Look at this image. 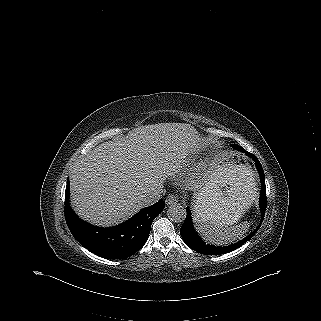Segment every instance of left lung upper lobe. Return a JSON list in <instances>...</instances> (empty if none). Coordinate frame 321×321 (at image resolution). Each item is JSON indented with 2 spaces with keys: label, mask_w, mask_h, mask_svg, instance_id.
<instances>
[{
  "label": "left lung upper lobe",
  "mask_w": 321,
  "mask_h": 321,
  "mask_svg": "<svg viewBox=\"0 0 321 321\" xmlns=\"http://www.w3.org/2000/svg\"><path fill=\"white\" fill-rule=\"evenodd\" d=\"M231 147L234 148L235 150H237V148L239 147V145L237 144H231ZM241 147V146H240Z\"/></svg>",
  "instance_id": "5c2ea615"
}]
</instances>
